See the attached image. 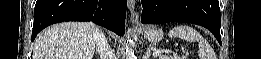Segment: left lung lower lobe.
Here are the masks:
<instances>
[{
	"label": "left lung lower lobe",
	"mask_w": 261,
	"mask_h": 59,
	"mask_svg": "<svg viewBox=\"0 0 261 59\" xmlns=\"http://www.w3.org/2000/svg\"><path fill=\"white\" fill-rule=\"evenodd\" d=\"M143 24L189 22L207 28L221 44L218 0H142Z\"/></svg>",
	"instance_id": "left-lung-lower-lobe-1"
}]
</instances>
